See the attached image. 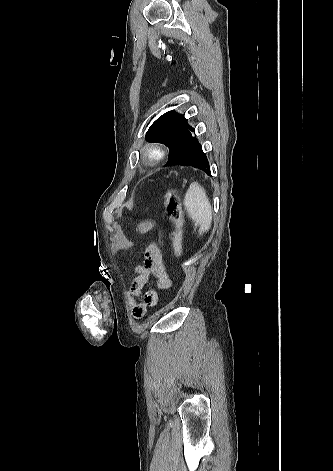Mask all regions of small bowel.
<instances>
[{"label":"small bowel","instance_id":"small-bowel-1","mask_svg":"<svg viewBox=\"0 0 333 471\" xmlns=\"http://www.w3.org/2000/svg\"><path fill=\"white\" fill-rule=\"evenodd\" d=\"M153 225L145 222L140 229L144 232L151 230ZM135 279L131 287L125 291V299L132 316L141 319L148 308L159 302L155 289L144 290L151 277L155 278L156 288L166 290L172 287V280L163 262V249L159 243L149 244L145 250V262L133 268Z\"/></svg>","mask_w":333,"mask_h":471}]
</instances>
